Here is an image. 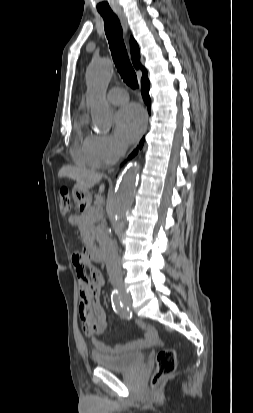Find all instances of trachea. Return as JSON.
<instances>
[{
	"label": "trachea",
	"mask_w": 253,
	"mask_h": 413,
	"mask_svg": "<svg viewBox=\"0 0 253 413\" xmlns=\"http://www.w3.org/2000/svg\"><path fill=\"white\" fill-rule=\"evenodd\" d=\"M101 16L116 68L123 81L134 89L138 87V80L127 54L120 21L115 14H101Z\"/></svg>",
	"instance_id": "1"
}]
</instances>
